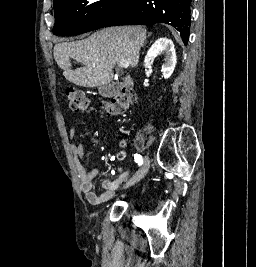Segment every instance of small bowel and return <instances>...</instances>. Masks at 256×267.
Here are the masks:
<instances>
[{
	"instance_id": "1",
	"label": "small bowel",
	"mask_w": 256,
	"mask_h": 267,
	"mask_svg": "<svg viewBox=\"0 0 256 267\" xmlns=\"http://www.w3.org/2000/svg\"><path fill=\"white\" fill-rule=\"evenodd\" d=\"M69 133L72 137L69 146L72 154L74 155V167L79 178L82 192L85 194L87 200L93 205H98L109 200L127 178L129 172H123L115 180H103L101 182L102 191L97 192L95 189L94 179L98 175V171L96 169L87 171L83 165V162L86 160L83 145L82 143L74 140V137L77 134V126L72 125Z\"/></svg>"
}]
</instances>
